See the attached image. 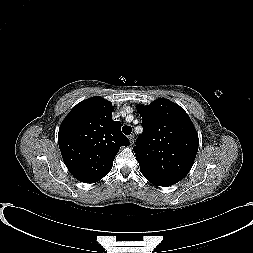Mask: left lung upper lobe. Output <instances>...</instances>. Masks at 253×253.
<instances>
[{
    "mask_svg": "<svg viewBox=\"0 0 253 253\" xmlns=\"http://www.w3.org/2000/svg\"><path fill=\"white\" fill-rule=\"evenodd\" d=\"M143 133L133 148L141 173L151 181L170 186L191 170L199 145L197 131L182 107L160 98L139 105Z\"/></svg>",
    "mask_w": 253,
    "mask_h": 253,
    "instance_id": "1",
    "label": "left lung upper lobe"
}]
</instances>
